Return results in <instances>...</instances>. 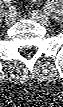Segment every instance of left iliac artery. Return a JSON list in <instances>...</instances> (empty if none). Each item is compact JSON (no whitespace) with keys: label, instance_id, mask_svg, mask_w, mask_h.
I'll return each mask as SVG.
<instances>
[{"label":"left iliac artery","instance_id":"44dca946","mask_svg":"<svg viewBox=\"0 0 63 107\" xmlns=\"http://www.w3.org/2000/svg\"><path fill=\"white\" fill-rule=\"evenodd\" d=\"M52 10H53V8H52L51 4L48 3V4L46 5L45 12H46L47 14H49L50 12H52Z\"/></svg>","mask_w":63,"mask_h":107}]
</instances>
